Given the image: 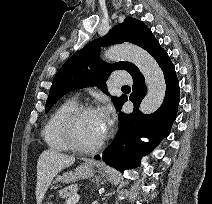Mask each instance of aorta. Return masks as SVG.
I'll return each mask as SVG.
<instances>
[{
    "instance_id": "obj_1",
    "label": "aorta",
    "mask_w": 212,
    "mask_h": 204,
    "mask_svg": "<svg viewBox=\"0 0 212 204\" xmlns=\"http://www.w3.org/2000/svg\"><path fill=\"white\" fill-rule=\"evenodd\" d=\"M104 58L108 61H130L143 74L148 92L140 104L139 109L142 113L151 114L161 106L166 92L164 74L147 51L135 45L121 44L107 49Z\"/></svg>"
}]
</instances>
